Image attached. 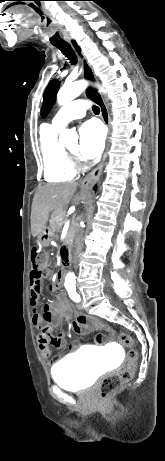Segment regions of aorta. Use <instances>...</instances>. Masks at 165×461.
Instances as JSON below:
<instances>
[{
  "instance_id": "762f6f07",
  "label": "aorta",
  "mask_w": 165,
  "mask_h": 461,
  "mask_svg": "<svg viewBox=\"0 0 165 461\" xmlns=\"http://www.w3.org/2000/svg\"><path fill=\"white\" fill-rule=\"evenodd\" d=\"M88 86V82L85 80L76 81L70 84H64L63 87L58 91L57 102L60 105H65L71 102L73 99L78 97ZM101 91L106 92L101 88ZM72 140H77V134L71 130H63L60 133L59 142L64 146H69ZM66 280L75 281V275L69 273L66 276Z\"/></svg>"
}]
</instances>
